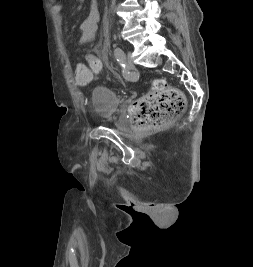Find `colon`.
<instances>
[{
  "instance_id": "1",
  "label": "colon",
  "mask_w": 253,
  "mask_h": 267,
  "mask_svg": "<svg viewBox=\"0 0 253 267\" xmlns=\"http://www.w3.org/2000/svg\"><path fill=\"white\" fill-rule=\"evenodd\" d=\"M88 67L78 65L75 79L80 84L88 83L93 73L101 70L100 60L92 54L86 56ZM186 99L181 90L169 86L163 79H155L152 90L138 99L132 106L131 114L136 129L150 130L164 126L183 113Z\"/></svg>"
}]
</instances>
